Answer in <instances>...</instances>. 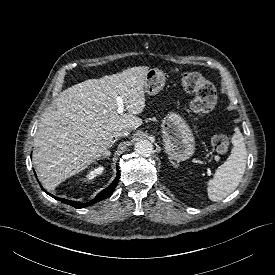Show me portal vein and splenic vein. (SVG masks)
<instances>
[{
	"label": "portal vein and splenic vein",
	"instance_id": "18ae733b",
	"mask_svg": "<svg viewBox=\"0 0 275 275\" xmlns=\"http://www.w3.org/2000/svg\"><path fill=\"white\" fill-rule=\"evenodd\" d=\"M116 101H117V112L119 114L123 113V111L125 110V106H124V103H123V99L121 96H117L116 97Z\"/></svg>",
	"mask_w": 275,
	"mask_h": 275
}]
</instances>
